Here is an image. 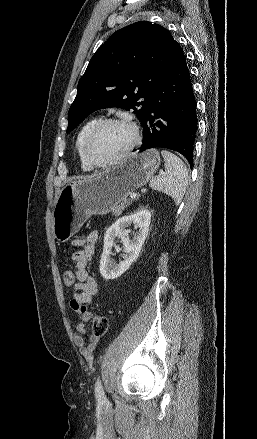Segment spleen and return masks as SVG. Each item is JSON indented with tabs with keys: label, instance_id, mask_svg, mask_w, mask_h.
<instances>
[{
	"label": "spleen",
	"instance_id": "spleen-1",
	"mask_svg": "<svg viewBox=\"0 0 257 439\" xmlns=\"http://www.w3.org/2000/svg\"><path fill=\"white\" fill-rule=\"evenodd\" d=\"M161 154L165 161V173L155 176L150 181V187L171 196L176 205L180 204L188 185V171L183 161L167 150Z\"/></svg>",
	"mask_w": 257,
	"mask_h": 439
}]
</instances>
